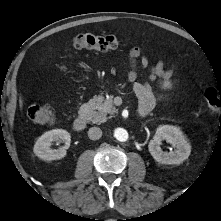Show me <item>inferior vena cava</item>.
<instances>
[{"label":"inferior vena cava","instance_id":"obj_1","mask_svg":"<svg viewBox=\"0 0 221 221\" xmlns=\"http://www.w3.org/2000/svg\"><path fill=\"white\" fill-rule=\"evenodd\" d=\"M102 136V130L99 127H91L88 131V137L91 140H98Z\"/></svg>","mask_w":221,"mask_h":221}]
</instances>
